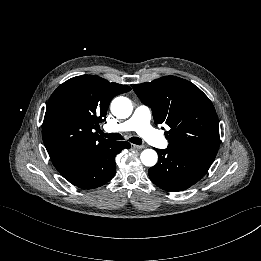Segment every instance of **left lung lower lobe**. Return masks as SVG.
<instances>
[{
    "label": "left lung lower lobe",
    "instance_id": "obj_1",
    "mask_svg": "<svg viewBox=\"0 0 261 261\" xmlns=\"http://www.w3.org/2000/svg\"><path fill=\"white\" fill-rule=\"evenodd\" d=\"M155 150L159 160L148 170L149 178L158 187L171 192L190 188L203 177L213 162V159L195 153Z\"/></svg>",
    "mask_w": 261,
    "mask_h": 261
}]
</instances>
